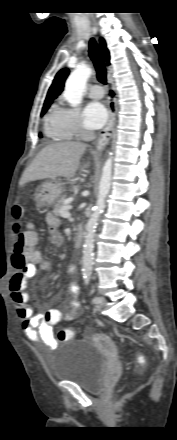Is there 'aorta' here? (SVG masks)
<instances>
[{"instance_id":"obj_1","label":"aorta","mask_w":177,"mask_h":440,"mask_svg":"<svg viewBox=\"0 0 177 440\" xmlns=\"http://www.w3.org/2000/svg\"><path fill=\"white\" fill-rule=\"evenodd\" d=\"M92 74L91 68L86 64L79 65L68 77L64 98L72 105L77 106L82 101V96L85 91L86 83ZM111 155V154H110ZM112 179V159L109 157L102 169V175L99 183V191L97 196L96 205L92 215L86 223L84 245H83V257H82V270L84 274H90L93 263V251H94V236L98 225V220L106 207V197L109 194L111 188Z\"/></svg>"}]
</instances>
